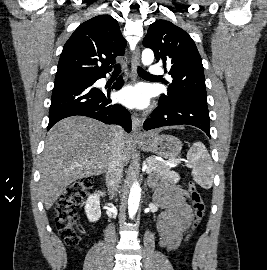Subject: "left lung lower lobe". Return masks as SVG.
I'll return each mask as SVG.
<instances>
[{
    "mask_svg": "<svg viewBox=\"0 0 267 270\" xmlns=\"http://www.w3.org/2000/svg\"><path fill=\"white\" fill-rule=\"evenodd\" d=\"M172 125H192L200 128L210 137L207 104L188 100L163 103L159 100L153 116L144 122L143 127L145 130H151Z\"/></svg>",
    "mask_w": 267,
    "mask_h": 270,
    "instance_id": "left-lung-lower-lobe-1",
    "label": "left lung lower lobe"
}]
</instances>
